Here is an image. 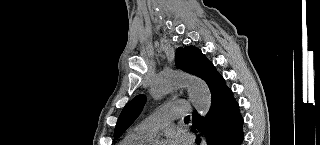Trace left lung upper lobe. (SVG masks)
Here are the masks:
<instances>
[{
	"label": "left lung upper lobe",
	"instance_id": "left-lung-upper-lobe-1",
	"mask_svg": "<svg viewBox=\"0 0 320 145\" xmlns=\"http://www.w3.org/2000/svg\"><path fill=\"white\" fill-rule=\"evenodd\" d=\"M209 63L201 50L194 46L176 50L175 65L188 73L199 76L202 69ZM146 102L144 95L134 97L122 110L115 128L114 138H119L141 113Z\"/></svg>",
	"mask_w": 320,
	"mask_h": 145
}]
</instances>
